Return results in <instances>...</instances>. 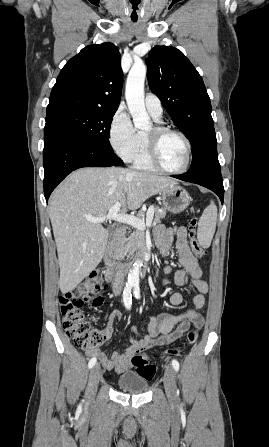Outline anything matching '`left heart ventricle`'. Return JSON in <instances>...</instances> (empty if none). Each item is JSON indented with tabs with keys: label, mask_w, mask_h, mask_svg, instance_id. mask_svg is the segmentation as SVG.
Segmentation results:
<instances>
[{
	"label": "left heart ventricle",
	"mask_w": 269,
	"mask_h": 447,
	"mask_svg": "<svg viewBox=\"0 0 269 447\" xmlns=\"http://www.w3.org/2000/svg\"><path fill=\"white\" fill-rule=\"evenodd\" d=\"M148 134L155 135L154 128ZM160 158L163 164L170 169L181 168L186 160V144L176 134L168 133L158 137Z\"/></svg>",
	"instance_id": "1"
}]
</instances>
